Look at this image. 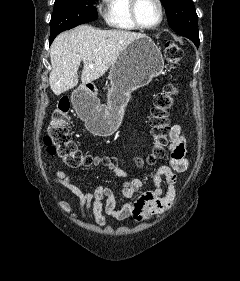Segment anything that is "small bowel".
<instances>
[{
    "label": "small bowel",
    "mask_w": 240,
    "mask_h": 281,
    "mask_svg": "<svg viewBox=\"0 0 240 281\" xmlns=\"http://www.w3.org/2000/svg\"><path fill=\"white\" fill-rule=\"evenodd\" d=\"M168 162L158 167L153 174L154 189L143 190V181L130 178L128 173L118 166L109 163L107 168L114 175L123 180L122 196L127 199L121 207L117 206L114 192L106 186L94 189L77 183L69 174L57 171L53 182L67 188L79 201L81 217L100 227L107 224V217L117 221L128 218L136 222H145L168 209L176 198L177 173L188 169L186 158V137L183 128L172 125L169 129ZM166 183V190L163 188ZM58 206L67 214L71 213V206L66 201H60Z\"/></svg>",
    "instance_id": "obj_1"
}]
</instances>
